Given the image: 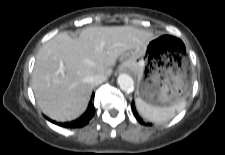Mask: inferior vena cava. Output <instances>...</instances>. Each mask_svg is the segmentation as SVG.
<instances>
[{
    "label": "inferior vena cava",
    "mask_w": 225,
    "mask_h": 155,
    "mask_svg": "<svg viewBox=\"0 0 225 155\" xmlns=\"http://www.w3.org/2000/svg\"><path fill=\"white\" fill-rule=\"evenodd\" d=\"M106 79H107V75H105V74H96L93 77V81L95 84L102 83V82L106 81Z\"/></svg>",
    "instance_id": "602c4592"
}]
</instances>
